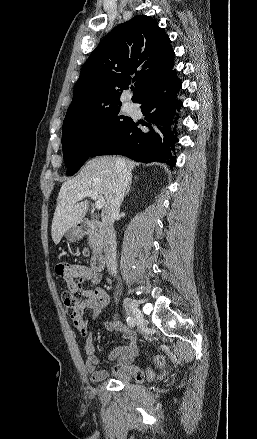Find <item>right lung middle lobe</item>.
Here are the masks:
<instances>
[{"mask_svg": "<svg viewBox=\"0 0 257 439\" xmlns=\"http://www.w3.org/2000/svg\"><path fill=\"white\" fill-rule=\"evenodd\" d=\"M114 104L63 122L62 148L67 175H74L105 141L117 135L132 118L119 115Z\"/></svg>", "mask_w": 257, "mask_h": 439, "instance_id": "obj_1", "label": "right lung middle lobe"}]
</instances>
